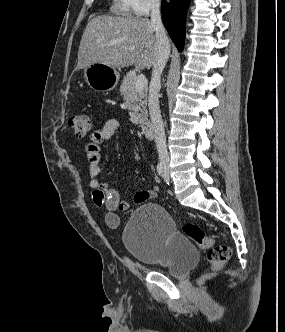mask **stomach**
Returning a JSON list of instances; mask_svg holds the SVG:
<instances>
[{
	"label": "stomach",
	"instance_id": "1",
	"mask_svg": "<svg viewBox=\"0 0 285 332\" xmlns=\"http://www.w3.org/2000/svg\"><path fill=\"white\" fill-rule=\"evenodd\" d=\"M84 77L88 85L95 91H111L119 81V72L108 65L93 63L85 67Z\"/></svg>",
	"mask_w": 285,
	"mask_h": 332
}]
</instances>
